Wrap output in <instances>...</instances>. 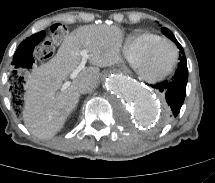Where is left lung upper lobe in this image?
I'll list each match as a JSON object with an SVG mask.
<instances>
[{
	"mask_svg": "<svg viewBox=\"0 0 215 183\" xmlns=\"http://www.w3.org/2000/svg\"><path fill=\"white\" fill-rule=\"evenodd\" d=\"M161 31L165 36H167L173 42H175L177 47L180 49V53H181L180 60L184 59L185 58L184 50H183L182 46L179 44V42L176 40V38L174 37L173 33L167 28H161Z\"/></svg>",
	"mask_w": 215,
	"mask_h": 183,
	"instance_id": "left-lung-upper-lobe-1",
	"label": "left lung upper lobe"
}]
</instances>
